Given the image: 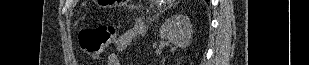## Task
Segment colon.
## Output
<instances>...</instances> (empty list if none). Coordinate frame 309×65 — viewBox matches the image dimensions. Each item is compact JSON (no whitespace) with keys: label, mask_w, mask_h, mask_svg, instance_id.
<instances>
[{"label":"colon","mask_w":309,"mask_h":65,"mask_svg":"<svg viewBox=\"0 0 309 65\" xmlns=\"http://www.w3.org/2000/svg\"><path fill=\"white\" fill-rule=\"evenodd\" d=\"M119 31L120 26L115 24L91 26L80 31L79 44L91 58L98 59L116 41Z\"/></svg>","instance_id":"obj_1"}]
</instances>
